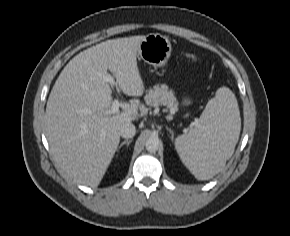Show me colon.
I'll use <instances>...</instances> for the list:
<instances>
[{"label":"colon","mask_w":290,"mask_h":236,"mask_svg":"<svg viewBox=\"0 0 290 236\" xmlns=\"http://www.w3.org/2000/svg\"><path fill=\"white\" fill-rule=\"evenodd\" d=\"M190 58L195 59V57L193 55H189Z\"/></svg>","instance_id":"1"}]
</instances>
